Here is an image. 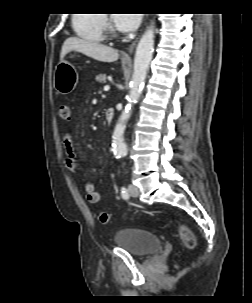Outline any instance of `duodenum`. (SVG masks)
Returning <instances> with one entry per match:
<instances>
[{"instance_id":"410a0bca","label":"duodenum","mask_w":252,"mask_h":303,"mask_svg":"<svg viewBox=\"0 0 252 303\" xmlns=\"http://www.w3.org/2000/svg\"><path fill=\"white\" fill-rule=\"evenodd\" d=\"M114 117V111L111 108H108L105 113V125H109Z\"/></svg>"}]
</instances>
